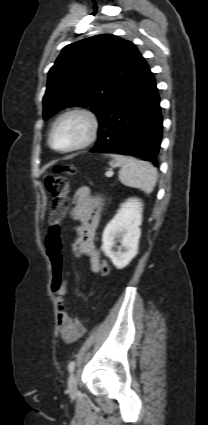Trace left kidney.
Returning a JSON list of instances; mask_svg holds the SVG:
<instances>
[{"instance_id": "1", "label": "left kidney", "mask_w": 208, "mask_h": 425, "mask_svg": "<svg viewBox=\"0 0 208 425\" xmlns=\"http://www.w3.org/2000/svg\"><path fill=\"white\" fill-rule=\"evenodd\" d=\"M143 203L137 198L122 203L115 217L107 224L102 235V250L117 269L125 268L138 253L141 236ZM118 239L123 251H114Z\"/></svg>"}]
</instances>
